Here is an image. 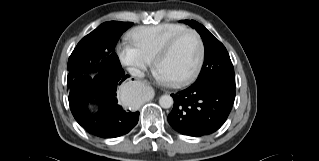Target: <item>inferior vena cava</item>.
I'll use <instances>...</instances> for the list:
<instances>
[{"instance_id": "inferior-vena-cava-1", "label": "inferior vena cava", "mask_w": 319, "mask_h": 161, "mask_svg": "<svg viewBox=\"0 0 319 161\" xmlns=\"http://www.w3.org/2000/svg\"><path fill=\"white\" fill-rule=\"evenodd\" d=\"M128 72L135 77H144V73L136 67H129Z\"/></svg>"}]
</instances>
